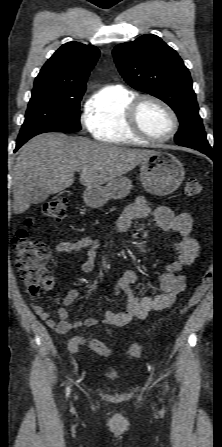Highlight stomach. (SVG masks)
Listing matches in <instances>:
<instances>
[{
  "instance_id": "0dacf381",
  "label": "stomach",
  "mask_w": 222,
  "mask_h": 447,
  "mask_svg": "<svg viewBox=\"0 0 222 447\" xmlns=\"http://www.w3.org/2000/svg\"><path fill=\"white\" fill-rule=\"evenodd\" d=\"M184 174L182 163L174 155L163 151H154L142 161L140 167V181L144 189L158 196L174 192L182 183ZM131 188V181L127 177H118L104 187H87L83 199L88 206L99 208L109 199L126 197Z\"/></svg>"
}]
</instances>
